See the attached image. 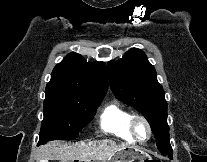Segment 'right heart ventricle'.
<instances>
[{
    "label": "right heart ventricle",
    "instance_id": "e07e8e85",
    "mask_svg": "<svg viewBox=\"0 0 207 162\" xmlns=\"http://www.w3.org/2000/svg\"><path fill=\"white\" fill-rule=\"evenodd\" d=\"M133 114L117 102L107 104L98 116L101 131L114 135L124 141L134 142L129 132Z\"/></svg>",
    "mask_w": 207,
    "mask_h": 162
}]
</instances>
